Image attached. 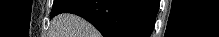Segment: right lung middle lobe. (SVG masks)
Returning <instances> with one entry per match:
<instances>
[{
    "instance_id": "1",
    "label": "right lung middle lobe",
    "mask_w": 219,
    "mask_h": 37,
    "mask_svg": "<svg viewBox=\"0 0 219 37\" xmlns=\"http://www.w3.org/2000/svg\"><path fill=\"white\" fill-rule=\"evenodd\" d=\"M68 2H69L68 0H54L53 8L51 11V18L53 16L57 15V13L61 9V7Z\"/></svg>"
}]
</instances>
